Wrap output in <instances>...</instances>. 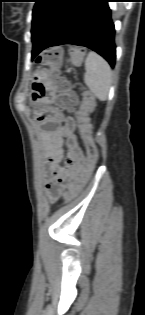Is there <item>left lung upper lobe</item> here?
Masks as SVG:
<instances>
[{"instance_id": "5c2ea615", "label": "left lung upper lobe", "mask_w": 145, "mask_h": 315, "mask_svg": "<svg viewBox=\"0 0 145 315\" xmlns=\"http://www.w3.org/2000/svg\"><path fill=\"white\" fill-rule=\"evenodd\" d=\"M72 0H36L32 18V41L40 42Z\"/></svg>"}]
</instances>
